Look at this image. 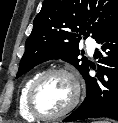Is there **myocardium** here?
<instances>
[{"mask_svg":"<svg viewBox=\"0 0 118 123\" xmlns=\"http://www.w3.org/2000/svg\"><path fill=\"white\" fill-rule=\"evenodd\" d=\"M55 74L66 75L73 83L74 94L71 102L68 106L57 114H43L41 113L35 104V95L39 86L50 76ZM82 87L78 75L71 69L65 67H56L46 70L41 73L31 84L27 94V107L30 113L39 120H58L70 113L79 103L81 97Z\"/></svg>","mask_w":118,"mask_h":123,"instance_id":"1","label":"myocardium"}]
</instances>
